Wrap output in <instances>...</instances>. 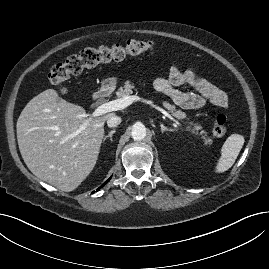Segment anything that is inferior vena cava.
Returning <instances> with one entry per match:
<instances>
[{"label": "inferior vena cava", "instance_id": "602c4592", "mask_svg": "<svg viewBox=\"0 0 269 269\" xmlns=\"http://www.w3.org/2000/svg\"><path fill=\"white\" fill-rule=\"evenodd\" d=\"M120 123H121V118L119 116H116V115H111L107 119V125L110 128L117 127Z\"/></svg>", "mask_w": 269, "mask_h": 269}]
</instances>
